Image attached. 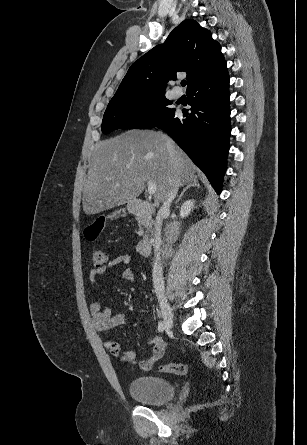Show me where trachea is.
Here are the masks:
<instances>
[{
    "label": "trachea",
    "mask_w": 307,
    "mask_h": 445,
    "mask_svg": "<svg viewBox=\"0 0 307 445\" xmlns=\"http://www.w3.org/2000/svg\"><path fill=\"white\" fill-rule=\"evenodd\" d=\"M181 85H182V87H185V85H187L186 80H182V81H181Z\"/></svg>",
    "instance_id": "obj_1"
}]
</instances>
